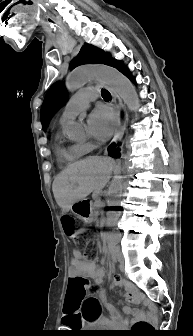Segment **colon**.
Wrapping results in <instances>:
<instances>
[{
	"label": "colon",
	"instance_id": "5ec220e1",
	"mask_svg": "<svg viewBox=\"0 0 193 336\" xmlns=\"http://www.w3.org/2000/svg\"><path fill=\"white\" fill-rule=\"evenodd\" d=\"M62 226L64 229V232L66 236L74 243H81L83 244L85 240H81L79 233L76 228V221L75 219L70 215H64L61 218ZM79 286L82 289L83 295L85 296L87 294L88 290H93L94 287L90 286L88 281L85 279L79 283ZM85 309V318L89 321L94 320L99 313L98 303L95 299L89 298L85 301L84 304ZM154 329L153 325L148 320H143L135 323L132 326V329L130 331L131 336H147L149 332H151Z\"/></svg>",
	"mask_w": 193,
	"mask_h": 336
}]
</instances>
